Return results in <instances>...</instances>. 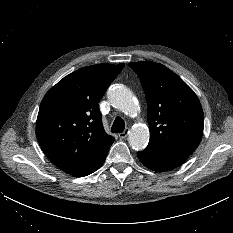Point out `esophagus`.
Returning <instances> with one entry per match:
<instances>
[{
    "mask_svg": "<svg viewBox=\"0 0 233 233\" xmlns=\"http://www.w3.org/2000/svg\"><path fill=\"white\" fill-rule=\"evenodd\" d=\"M128 134H129V129H125V131L119 133V137L121 139H125L128 136Z\"/></svg>",
    "mask_w": 233,
    "mask_h": 233,
    "instance_id": "1",
    "label": "esophagus"
}]
</instances>
